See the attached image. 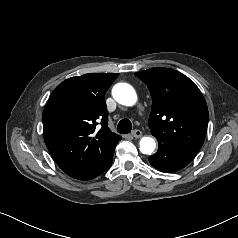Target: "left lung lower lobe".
I'll return each mask as SVG.
<instances>
[{
    "mask_svg": "<svg viewBox=\"0 0 238 238\" xmlns=\"http://www.w3.org/2000/svg\"><path fill=\"white\" fill-rule=\"evenodd\" d=\"M196 154L194 150L179 148L169 143H159L157 153L149 157V162L162 172L172 173L188 165Z\"/></svg>",
    "mask_w": 238,
    "mask_h": 238,
    "instance_id": "obj_1",
    "label": "left lung lower lobe"
}]
</instances>
